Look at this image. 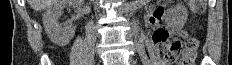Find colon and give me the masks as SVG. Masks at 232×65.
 <instances>
[{
    "label": "colon",
    "instance_id": "obj_1",
    "mask_svg": "<svg viewBox=\"0 0 232 65\" xmlns=\"http://www.w3.org/2000/svg\"><path fill=\"white\" fill-rule=\"evenodd\" d=\"M190 7L195 15H202L205 12L206 0H191ZM157 39H162L159 43V53L162 55L167 63H172L180 55L179 65H194L198 42L195 38L173 37L169 35L164 38L160 35Z\"/></svg>",
    "mask_w": 232,
    "mask_h": 65
}]
</instances>
